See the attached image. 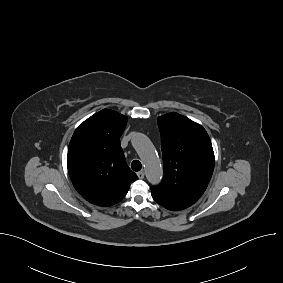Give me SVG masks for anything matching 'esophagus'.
<instances>
[{"label": "esophagus", "instance_id": "esophagus-1", "mask_svg": "<svg viewBox=\"0 0 283 283\" xmlns=\"http://www.w3.org/2000/svg\"><path fill=\"white\" fill-rule=\"evenodd\" d=\"M144 171H139L138 173H137V176H138V178L139 179H143L144 178Z\"/></svg>", "mask_w": 283, "mask_h": 283}]
</instances>
